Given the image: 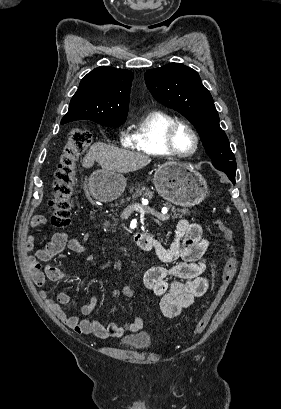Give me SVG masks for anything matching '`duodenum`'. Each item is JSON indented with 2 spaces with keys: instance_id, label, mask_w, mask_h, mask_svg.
Returning <instances> with one entry per match:
<instances>
[{
  "instance_id": "duodenum-1",
  "label": "duodenum",
  "mask_w": 281,
  "mask_h": 409,
  "mask_svg": "<svg viewBox=\"0 0 281 409\" xmlns=\"http://www.w3.org/2000/svg\"><path fill=\"white\" fill-rule=\"evenodd\" d=\"M134 241L135 243L144 251H150L151 250V237L143 234V233H137L134 235Z\"/></svg>"
}]
</instances>
